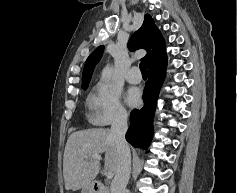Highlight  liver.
Returning a JSON list of instances; mask_svg holds the SVG:
<instances>
[{
  "label": "liver",
  "instance_id": "liver-1",
  "mask_svg": "<svg viewBox=\"0 0 237 193\" xmlns=\"http://www.w3.org/2000/svg\"><path fill=\"white\" fill-rule=\"evenodd\" d=\"M102 153L105 154V170L116 173L120 158L110 129L92 128L70 135L63 158L66 190L77 191L93 183L100 170V161L85 156Z\"/></svg>",
  "mask_w": 237,
  "mask_h": 193
}]
</instances>
